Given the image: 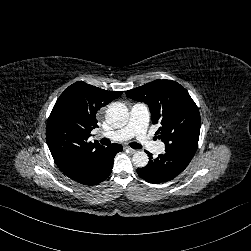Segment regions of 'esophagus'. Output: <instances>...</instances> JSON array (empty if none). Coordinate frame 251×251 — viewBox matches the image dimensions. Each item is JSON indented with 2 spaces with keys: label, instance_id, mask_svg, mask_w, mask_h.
I'll list each match as a JSON object with an SVG mask.
<instances>
[{
  "label": "esophagus",
  "instance_id": "1",
  "mask_svg": "<svg viewBox=\"0 0 251 251\" xmlns=\"http://www.w3.org/2000/svg\"><path fill=\"white\" fill-rule=\"evenodd\" d=\"M126 149H127V150L129 151V153H131V154H134V153L137 152L136 149H133V148H130V147H126Z\"/></svg>",
  "mask_w": 251,
  "mask_h": 251
}]
</instances>
